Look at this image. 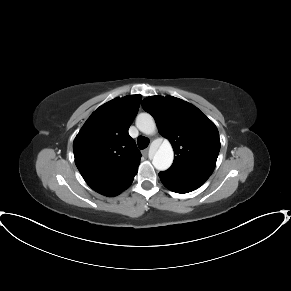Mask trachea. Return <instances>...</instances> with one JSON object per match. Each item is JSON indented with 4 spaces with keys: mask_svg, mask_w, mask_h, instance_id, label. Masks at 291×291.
Masks as SVG:
<instances>
[{
    "mask_svg": "<svg viewBox=\"0 0 291 291\" xmlns=\"http://www.w3.org/2000/svg\"><path fill=\"white\" fill-rule=\"evenodd\" d=\"M139 149H145L149 145V139L144 136H139L137 139Z\"/></svg>",
    "mask_w": 291,
    "mask_h": 291,
    "instance_id": "obj_1",
    "label": "trachea"
}]
</instances>
